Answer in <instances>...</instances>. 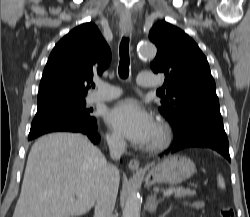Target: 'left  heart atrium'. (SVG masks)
Segmentation results:
<instances>
[{"label":"left heart atrium","mask_w":250,"mask_h":217,"mask_svg":"<svg viewBox=\"0 0 250 217\" xmlns=\"http://www.w3.org/2000/svg\"><path fill=\"white\" fill-rule=\"evenodd\" d=\"M106 122L131 142L145 145L151 140L156 128L152 116L134 99H125L109 108Z\"/></svg>","instance_id":"left-heart-atrium-1"}]
</instances>
